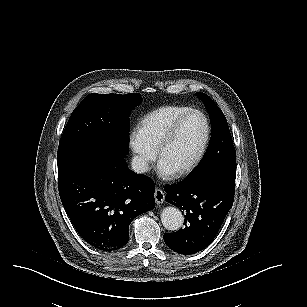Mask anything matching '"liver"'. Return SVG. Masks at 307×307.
<instances>
[{
    "instance_id": "6515ba94",
    "label": "liver",
    "mask_w": 307,
    "mask_h": 307,
    "mask_svg": "<svg viewBox=\"0 0 307 307\" xmlns=\"http://www.w3.org/2000/svg\"><path fill=\"white\" fill-rule=\"evenodd\" d=\"M83 159L88 161L90 160L89 151H82Z\"/></svg>"
}]
</instances>
